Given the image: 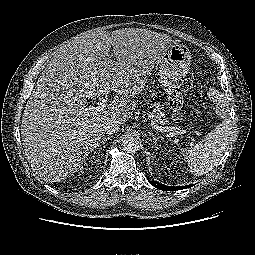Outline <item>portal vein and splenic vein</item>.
I'll use <instances>...</instances> for the list:
<instances>
[{
    "instance_id": "portal-vein-and-splenic-vein-1",
    "label": "portal vein and splenic vein",
    "mask_w": 255,
    "mask_h": 255,
    "mask_svg": "<svg viewBox=\"0 0 255 255\" xmlns=\"http://www.w3.org/2000/svg\"><path fill=\"white\" fill-rule=\"evenodd\" d=\"M88 109L91 111V113L93 114H98L102 111H104L106 109V103L104 100H102L101 102L98 103V106H89ZM151 125L156 128L157 130H159L160 132H169V131H176L179 134H186L187 131L183 130L181 128L178 127H161L158 126L155 121H151Z\"/></svg>"
}]
</instances>
